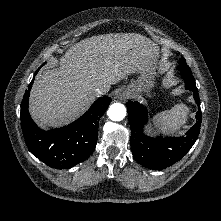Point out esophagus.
Instances as JSON below:
<instances>
[{
  "label": "esophagus",
  "mask_w": 221,
  "mask_h": 221,
  "mask_svg": "<svg viewBox=\"0 0 221 221\" xmlns=\"http://www.w3.org/2000/svg\"><path fill=\"white\" fill-rule=\"evenodd\" d=\"M118 97L121 100H125L129 98V95L123 92V93H120Z\"/></svg>",
  "instance_id": "esophagus-1"
}]
</instances>
